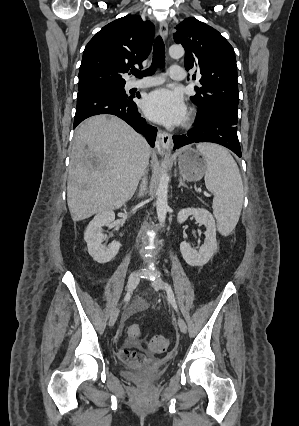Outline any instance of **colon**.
<instances>
[{"instance_id": "colon-1", "label": "colon", "mask_w": 299, "mask_h": 426, "mask_svg": "<svg viewBox=\"0 0 299 426\" xmlns=\"http://www.w3.org/2000/svg\"><path fill=\"white\" fill-rule=\"evenodd\" d=\"M127 332L130 339L136 341L141 335V327L138 324H131ZM148 347L154 352L163 353L169 347V340L164 336L157 335L150 339Z\"/></svg>"}]
</instances>
